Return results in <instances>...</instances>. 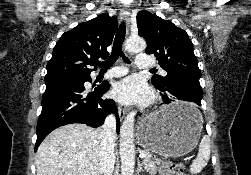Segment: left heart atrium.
<instances>
[{
  "label": "left heart atrium",
  "mask_w": 251,
  "mask_h": 175,
  "mask_svg": "<svg viewBox=\"0 0 251 175\" xmlns=\"http://www.w3.org/2000/svg\"><path fill=\"white\" fill-rule=\"evenodd\" d=\"M112 94L123 103L147 104L153 100V94L145 82L134 76L118 81L112 89Z\"/></svg>",
  "instance_id": "obj_1"
}]
</instances>
